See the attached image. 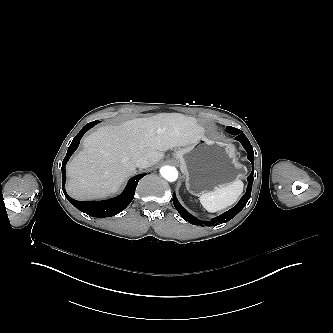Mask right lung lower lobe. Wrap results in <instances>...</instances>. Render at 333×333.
<instances>
[{
  "label": "right lung lower lobe",
  "instance_id": "right-lung-lower-lobe-1",
  "mask_svg": "<svg viewBox=\"0 0 333 333\" xmlns=\"http://www.w3.org/2000/svg\"><path fill=\"white\" fill-rule=\"evenodd\" d=\"M98 123L99 121H93L86 124L74 137L72 143L70 144L67 154L62 162V189L65 197L69 200V202L81 212H84L92 217H111L123 211L131 203L134 198L137 184L139 180L145 176V174H139L132 177L129 180L125 190L119 196L106 201H77L69 197L64 188L66 181V163L68 162L74 151L78 148L82 136Z\"/></svg>",
  "mask_w": 333,
  "mask_h": 333
}]
</instances>
